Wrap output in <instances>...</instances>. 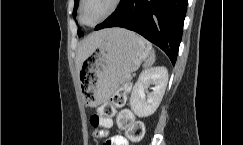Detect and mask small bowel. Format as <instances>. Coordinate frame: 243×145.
Segmentation results:
<instances>
[{
  "mask_svg": "<svg viewBox=\"0 0 243 145\" xmlns=\"http://www.w3.org/2000/svg\"><path fill=\"white\" fill-rule=\"evenodd\" d=\"M96 136H100V133H95ZM110 145H129L128 140L122 135H115L110 140Z\"/></svg>",
  "mask_w": 243,
  "mask_h": 145,
  "instance_id": "small-bowel-1",
  "label": "small bowel"
}]
</instances>
